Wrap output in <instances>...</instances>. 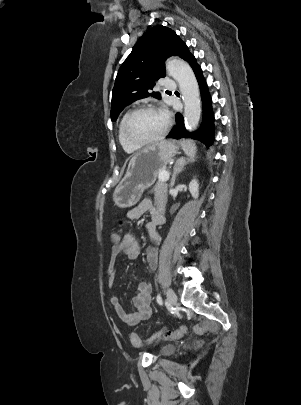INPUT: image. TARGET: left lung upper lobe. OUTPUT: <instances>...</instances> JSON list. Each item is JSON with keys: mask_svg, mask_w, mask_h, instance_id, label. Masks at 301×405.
Returning a JSON list of instances; mask_svg holds the SVG:
<instances>
[{"mask_svg": "<svg viewBox=\"0 0 301 405\" xmlns=\"http://www.w3.org/2000/svg\"><path fill=\"white\" fill-rule=\"evenodd\" d=\"M191 53L187 45L170 28L158 26L141 37L132 52L120 67L112 92L111 120L135 100L153 96L150 92L156 81L165 76V61L170 56H179L187 61Z\"/></svg>", "mask_w": 301, "mask_h": 405, "instance_id": "5c2ea615", "label": "left lung upper lobe"}]
</instances>
